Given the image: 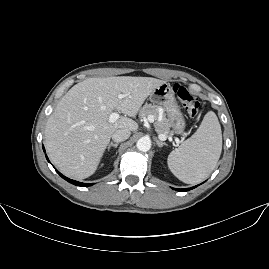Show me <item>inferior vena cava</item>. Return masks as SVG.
<instances>
[{"label":"inferior vena cava","mask_w":269,"mask_h":269,"mask_svg":"<svg viewBox=\"0 0 269 269\" xmlns=\"http://www.w3.org/2000/svg\"><path fill=\"white\" fill-rule=\"evenodd\" d=\"M130 131L128 129H118L112 134L114 142H122L130 137Z\"/></svg>","instance_id":"602c4592"}]
</instances>
